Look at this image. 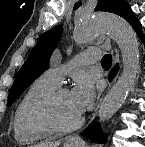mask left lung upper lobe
<instances>
[{
	"label": "left lung upper lobe",
	"mask_w": 145,
	"mask_h": 147,
	"mask_svg": "<svg viewBox=\"0 0 145 147\" xmlns=\"http://www.w3.org/2000/svg\"><path fill=\"white\" fill-rule=\"evenodd\" d=\"M80 5V2L76 3L74 9ZM128 8V3L124 0H98L95 11L112 12L123 17ZM62 30L60 25L46 31L39 37L37 44L30 51L12 85L7 102L8 107L33 81L49 68L50 56L59 42Z\"/></svg>",
	"instance_id": "5c2ea615"
}]
</instances>
